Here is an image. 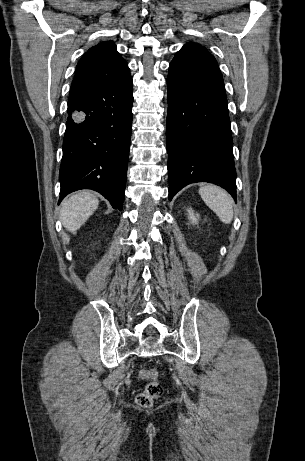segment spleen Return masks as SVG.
<instances>
[{
  "instance_id": "obj_1",
  "label": "spleen",
  "mask_w": 305,
  "mask_h": 461,
  "mask_svg": "<svg viewBox=\"0 0 305 461\" xmlns=\"http://www.w3.org/2000/svg\"><path fill=\"white\" fill-rule=\"evenodd\" d=\"M199 194L206 205L216 213L219 219L229 224L233 220V203L230 195L215 185L200 187Z\"/></svg>"
}]
</instances>
